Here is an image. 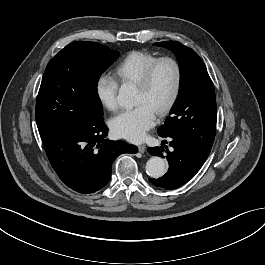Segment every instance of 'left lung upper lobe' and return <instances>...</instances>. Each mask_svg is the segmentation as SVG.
Masks as SVG:
<instances>
[{"label":"left lung upper lobe","instance_id":"5c2ea615","mask_svg":"<svg viewBox=\"0 0 265 265\" xmlns=\"http://www.w3.org/2000/svg\"><path fill=\"white\" fill-rule=\"evenodd\" d=\"M154 45L171 50L180 67L179 94L157 132L161 137L185 140L208 156L215 138L217 110L214 85L207 69L198 54L180 42Z\"/></svg>","mask_w":265,"mask_h":265}]
</instances>
